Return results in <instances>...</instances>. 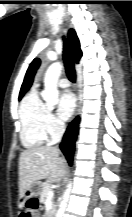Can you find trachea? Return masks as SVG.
<instances>
[{
    "mask_svg": "<svg viewBox=\"0 0 132 217\" xmlns=\"http://www.w3.org/2000/svg\"><path fill=\"white\" fill-rule=\"evenodd\" d=\"M63 40H64L63 60H64L66 74L71 82H75L76 74H75L73 57L65 38Z\"/></svg>",
    "mask_w": 132,
    "mask_h": 217,
    "instance_id": "trachea-1",
    "label": "trachea"
}]
</instances>
